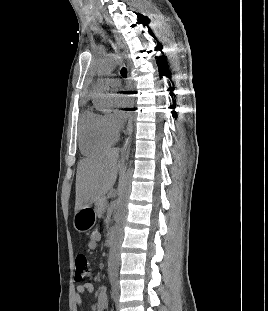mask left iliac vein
Returning <instances> with one entry per match:
<instances>
[{
	"label": "left iliac vein",
	"mask_w": 268,
	"mask_h": 311,
	"mask_svg": "<svg viewBox=\"0 0 268 311\" xmlns=\"http://www.w3.org/2000/svg\"><path fill=\"white\" fill-rule=\"evenodd\" d=\"M117 311H119L118 302H117Z\"/></svg>",
	"instance_id": "4c4485c4"
}]
</instances>
